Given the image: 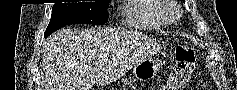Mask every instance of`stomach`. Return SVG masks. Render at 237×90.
Instances as JSON below:
<instances>
[{
    "label": "stomach",
    "mask_w": 237,
    "mask_h": 90,
    "mask_svg": "<svg viewBox=\"0 0 237 90\" xmlns=\"http://www.w3.org/2000/svg\"><path fill=\"white\" fill-rule=\"evenodd\" d=\"M161 67L162 64L157 60H146L134 67L133 76L139 81H147L154 78Z\"/></svg>",
    "instance_id": "0dacf381"
}]
</instances>
